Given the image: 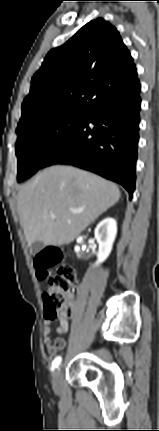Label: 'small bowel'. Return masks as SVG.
I'll use <instances>...</instances> for the list:
<instances>
[{
  "label": "small bowel",
  "instance_id": "small-bowel-1",
  "mask_svg": "<svg viewBox=\"0 0 159 431\" xmlns=\"http://www.w3.org/2000/svg\"><path fill=\"white\" fill-rule=\"evenodd\" d=\"M65 303L67 305H72L73 303V295L67 294ZM69 329V323L65 315H61L59 318V325L56 328V332L59 335H64L68 332ZM51 325L50 320H46L44 322L43 327V337H44V344L47 348V351L51 355H55L59 351L63 350L66 346V340L63 337H57L56 339H52L51 337Z\"/></svg>",
  "mask_w": 159,
  "mask_h": 431
}]
</instances>
